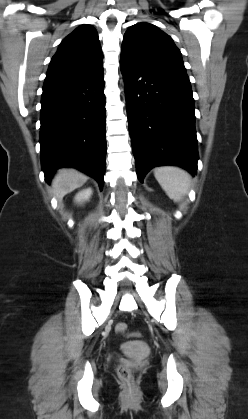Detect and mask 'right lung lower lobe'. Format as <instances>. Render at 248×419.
<instances>
[{
  "label": "right lung lower lobe",
  "mask_w": 248,
  "mask_h": 419,
  "mask_svg": "<svg viewBox=\"0 0 248 419\" xmlns=\"http://www.w3.org/2000/svg\"><path fill=\"white\" fill-rule=\"evenodd\" d=\"M42 170L74 167L94 177L102 189L106 155L103 67L86 76L48 83L41 99Z\"/></svg>",
  "instance_id": "1"
}]
</instances>
